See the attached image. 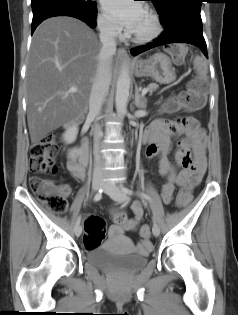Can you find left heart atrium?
Segmentation results:
<instances>
[{
	"instance_id": "left-heart-atrium-1",
	"label": "left heart atrium",
	"mask_w": 238,
	"mask_h": 315,
	"mask_svg": "<svg viewBox=\"0 0 238 315\" xmlns=\"http://www.w3.org/2000/svg\"><path fill=\"white\" fill-rule=\"evenodd\" d=\"M102 8L118 24L132 32L143 14V5L134 0H101Z\"/></svg>"
}]
</instances>
